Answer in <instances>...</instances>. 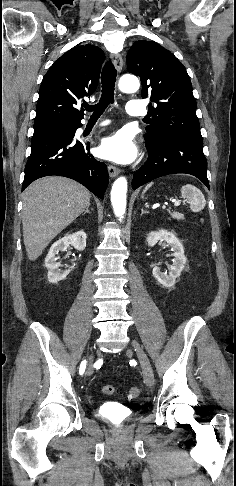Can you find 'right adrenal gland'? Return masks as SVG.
Wrapping results in <instances>:
<instances>
[{
	"instance_id": "1",
	"label": "right adrenal gland",
	"mask_w": 236,
	"mask_h": 486,
	"mask_svg": "<svg viewBox=\"0 0 236 486\" xmlns=\"http://www.w3.org/2000/svg\"><path fill=\"white\" fill-rule=\"evenodd\" d=\"M86 213H90L89 207L86 208V210L84 211V213L82 215H85Z\"/></svg>"
}]
</instances>
